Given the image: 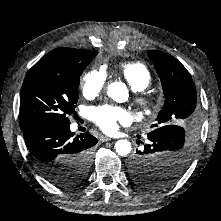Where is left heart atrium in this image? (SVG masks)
<instances>
[{"instance_id":"39dd6f15","label":"left heart atrium","mask_w":221,"mask_h":221,"mask_svg":"<svg viewBox=\"0 0 221 221\" xmlns=\"http://www.w3.org/2000/svg\"><path fill=\"white\" fill-rule=\"evenodd\" d=\"M90 118L104 132L112 133L119 124L127 123L130 116L127 110L122 107L103 105L92 108Z\"/></svg>"}]
</instances>
